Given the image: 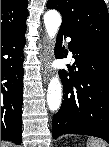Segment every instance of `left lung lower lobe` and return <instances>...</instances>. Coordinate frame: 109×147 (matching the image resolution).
Listing matches in <instances>:
<instances>
[{"mask_svg": "<svg viewBox=\"0 0 109 147\" xmlns=\"http://www.w3.org/2000/svg\"><path fill=\"white\" fill-rule=\"evenodd\" d=\"M63 36L72 39L68 47L76 56L70 78L65 70L59 72L64 100L53 117L52 136L82 134L109 143V46L61 26V46ZM56 51L57 58L64 57Z\"/></svg>", "mask_w": 109, "mask_h": 147, "instance_id": "left-lung-lower-lobe-1", "label": "left lung lower lobe"}]
</instances>
